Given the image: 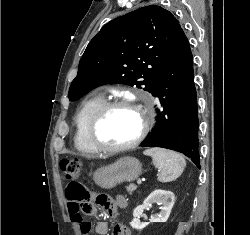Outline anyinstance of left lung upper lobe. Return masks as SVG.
<instances>
[{"mask_svg":"<svg viewBox=\"0 0 250 235\" xmlns=\"http://www.w3.org/2000/svg\"><path fill=\"white\" fill-rule=\"evenodd\" d=\"M181 31L173 14L157 5L111 20L82 55L69 88V100L75 101L107 83L136 85L151 92Z\"/></svg>","mask_w":250,"mask_h":235,"instance_id":"obj_1","label":"left lung upper lobe"}]
</instances>
